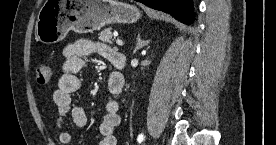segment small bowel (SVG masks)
<instances>
[{
	"label": "small bowel",
	"mask_w": 276,
	"mask_h": 145,
	"mask_svg": "<svg viewBox=\"0 0 276 145\" xmlns=\"http://www.w3.org/2000/svg\"><path fill=\"white\" fill-rule=\"evenodd\" d=\"M115 53L116 51L108 45L88 39L74 41L64 48L62 75L57 82V89L53 95V101L58 108L55 126L60 130L59 142L61 144L68 145L72 140L71 134L62 130L67 115L71 116L73 124L77 128H83L87 123L85 110L80 106H74L72 102V94L80 88V79L77 74L84 65V58L90 55H99L111 61ZM114 73L109 76L108 87L111 94L117 95L119 91L111 89L109 85ZM119 111V101L115 97L109 98L105 103L106 113L100 124L102 140L99 145H116L114 130L120 124Z\"/></svg>",
	"instance_id": "small-bowel-1"
}]
</instances>
